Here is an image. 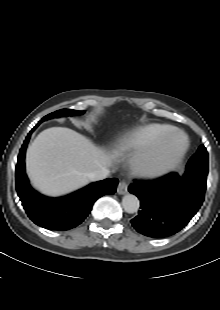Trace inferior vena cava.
<instances>
[{"instance_id": "602c4592", "label": "inferior vena cava", "mask_w": 220, "mask_h": 310, "mask_svg": "<svg viewBox=\"0 0 220 310\" xmlns=\"http://www.w3.org/2000/svg\"><path fill=\"white\" fill-rule=\"evenodd\" d=\"M109 169L102 167L101 169L95 170L87 174V177L90 181H98L105 179L109 175Z\"/></svg>"}]
</instances>
